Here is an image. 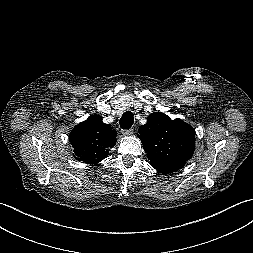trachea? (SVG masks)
Instances as JSON below:
<instances>
[{"label": "trachea", "instance_id": "obj_1", "mask_svg": "<svg viewBox=\"0 0 253 253\" xmlns=\"http://www.w3.org/2000/svg\"><path fill=\"white\" fill-rule=\"evenodd\" d=\"M134 123L133 113L126 111L120 119V127L122 129H129Z\"/></svg>", "mask_w": 253, "mask_h": 253}]
</instances>
